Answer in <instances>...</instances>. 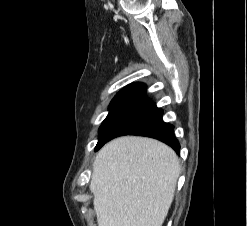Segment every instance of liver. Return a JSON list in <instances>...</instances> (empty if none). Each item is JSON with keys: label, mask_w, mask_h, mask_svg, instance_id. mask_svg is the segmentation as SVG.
I'll return each mask as SVG.
<instances>
[{"label": "liver", "mask_w": 247, "mask_h": 226, "mask_svg": "<svg viewBox=\"0 0 247 226\" xmlns=\"http://www.w3.org/2000/svg\"><path fill=\"white\" fill-rule=\"evenodd\" d=\"M180 175L176 153L144 137H119L96 155L90 191L98 226H162Z\"/></svg>", "instance_id": "6515ba94"}]
</instances>
